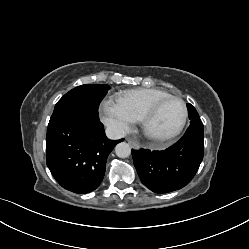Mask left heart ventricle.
Segmentation results:
<instances>
[{"label":"left heart ventricle","mask_w":249,"mask_h":249,"mask_svg":"<svg viewBox=\"0 0 249 249\" xmlns=\"http://www.w3.org/2000/svg\"><path fill=\"white\" fill-rule=\"evenodd\" d=\"M183 116V105L178 100L166 102L148 125V132L156 137L174 131Z\"/></svg>","instance_id":"1"}]
</instances>
